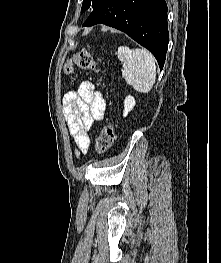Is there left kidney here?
I'll return each mask as SVG.
<instances>
[{"label": "left kidney", "mask_w": 221, "mask_h": 263, "mask_svg": "<svg viewBox=\"0 0 221 263\" xmlns=\"http://www.w3.org/2000/svg\"><path fill=\"white\" fill-rule=\"evenodd\" d=\"M136 102L133 96L128 95L125 100H124V112L123 116L126 117L128 113L133 109L135 106Z\"/></svg>", "instance_id": "5707ae66"}]
</instances>
